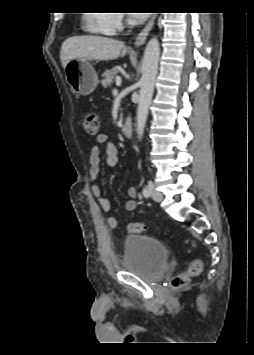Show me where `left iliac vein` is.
<instances>
[{"mask_svg": "<svg viewBox=\"0 0 254 355\" xmlns=\"http://www.w3.org/2000/svg\"><path fill=\"white\" fill-rule=\"evenodd\" d=\"M149 191H150V196L154 201L160 202L163 200V195L158 190H156L152 182H149Z\"/></svg>", "mask_w": 254, "mask_h": 355, "instance_id": "4c4485c4", "label": "left iliac vein"}]
</instances>
